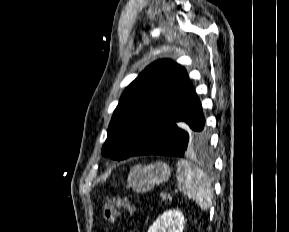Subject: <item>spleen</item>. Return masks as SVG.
I'll list each match as a JSON object with an SVG mask.
<instances>
[{"mask_svg":"<svg viewBox=\"0 0 289 232\" xmlns=\"http://www.w3.org/2000/svg\"><path fill=\"white\" fill-rule=\"evenodd\" d=\"M178 188L189 199H193L202 210L210 207L213 197L211 182L202 169L187 160L177 163Z\"/></svg>","mask_w":289,"mask_h":232,"instance_id":"obj_1","label":"spleen"}]
</instances>
